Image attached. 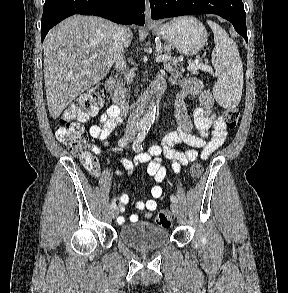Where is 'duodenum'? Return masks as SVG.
<instances>
[{
	"label": "duodenum",
	"mask_w": 288,
	"mask_h": 293,
	"mask_svg": "<svg viewBox=\"0 0 288 293\" xmlns=\"http://www.w3.org/2000/svg\"><path fill=\"white\" fill-rule=\"evenodd\" d=\"M106 89L113 102L122 114L128 111H144L151 103L156 102L163 95L166 89V81L162 76H157L154 80L151 89L134 103H129L115 78L109 77L106 80Z\"/></svg>",
	"instance_id": "obj_1"
}]
</instances>
